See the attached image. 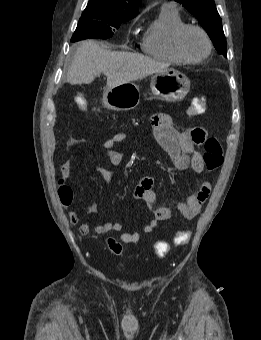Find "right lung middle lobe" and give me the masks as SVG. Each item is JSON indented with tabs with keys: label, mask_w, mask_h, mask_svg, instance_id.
Returning <instances> with one entry per match:
<instances>
[{
	"label": "right lung middle lobe",
	"mask_w": 261,
	"mask_h": 340,
	"mask_svg": "<svg viewBox=\"0 0 261 340\" xmlns=\"http://www.w3.org/2000/svg\"><path fill=\"white\" fill-rule=\"evenodd\" d=\"M132 18L116 15L102 9L86 7L71 41L75 42L87 38H110L113 35L114 28H119L121 23Z\"/></svg>",
	"instance_id": "dd1d6c3e"
}]
</instances>
